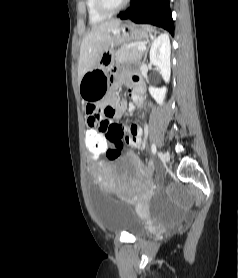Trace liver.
<instances>
[{"label": "liver", "mask_w": 238, "mask_h": 278, "mask_svg": "<svg viewBox=\"0 0 238 278\" xmlns=\"http://www.w3.org/2000/svg\"><path fill=\"white\" fill-rule=\"evenodd\" d=\"M121 20L112 19L95 25L88 33L80 48L78 64V82L90 70L97 67L102 54L109 49L113 43L114 36L118 32Z\"/></svg>", "instance_id": "obj_1"}]
</instances>
